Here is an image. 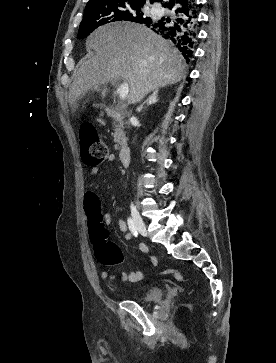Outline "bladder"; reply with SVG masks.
Wrapping results in <instances>:
<instances>
[{
  "instance_id": "obj_1",
  "label": "bladder",
  "mask_w": 276,
  "mask_h": 363,
  "mask_svg": "<svg viewBox=\"0 0 276 363\" xmlns=\"http://www.w3.org/2000/svg\"><path fill=\"white\" fill-rule=\"evenodd\" d=\"M164 290L161 287H152L146 291L143 297L140 299L141 302H157L163 298Z\"/></svg>"
}]
</instances>
